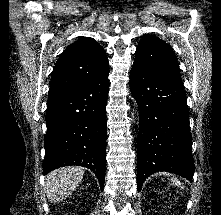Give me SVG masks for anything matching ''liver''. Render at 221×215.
<instances>
[{"label": "liver", "mask_w": 221, "mask_h": 215, "mask_svg": "<svg viewBox=\"0 0 221 215\" xmlns=\"http://www.w3.org/2000/svg\"><path fill=\"white\" fill-rule=\"evenodd\" d=\"M85 170L78 166L56 169L46 178V193L51 203L65 200L79 186Z\"/></svg>", "instance_id": "liver-1"}]
</instances>
